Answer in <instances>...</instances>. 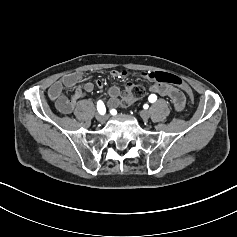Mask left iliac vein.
Segmentation results:
<instances>
[{
  "label": "left iliac vein",
  "mask_w": 237,
  "mask_h": 237,
  "mask_svg": "<svg viewBox=\"0 0 237 237\" xmlns=\"http://www.w3.org/2000/svg\"><path fill=\"white\" fill-rule=\"evenodd\" d=\"M141 117H142V119H144V120H148L149 117H150L149 112L146 111V110H143V111L141 112Z\"/></svg>",
  "instance_id": "obj_1"
}]
</instances>
